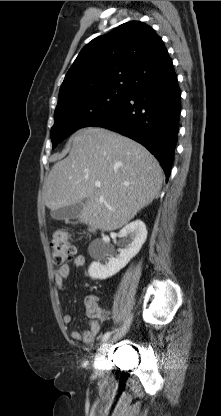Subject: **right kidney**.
<instances>
[{
  "label": "right kidney",
  "mask_w": 221,
  "mask_h": 416,
  "mask_svg": "<svg viewBox=\"0 0 221 416\" xmlns=\"http://www.w3.org/2000/svg\"><path fill=\"white\" fill-rule=\"evenodd\" d=\"M129 235L131 242L120 249L116 257H107V246L102 245L101 255L98 260L92 262L88 269V274L92 279H107L118 273L128 262L140 251L147 238V230L143 221L135 220L127 224L119 232L120 237ZM104 261V263H101Z\"/></svg>",
  "instance_id": "right-kidney-1"
}]
</instances>
